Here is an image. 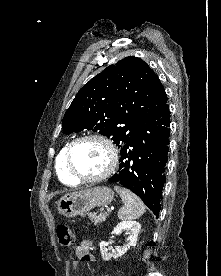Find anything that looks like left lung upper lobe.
Here are the masks:
<instances>
[{"label": "left lung upper lobe", "mask_w": 221, "mask_h": 276, "mask_svg": "<svg viewBox=\"0 0 221 276\" xmlns=\"http://www.w3.org/2000/svg\"><path fill=\"white\" fill-rule=\"evenodd\" d=\"M166 103L153 70L140 58L128 56L79 90L63 117V133L99 131L122 148Z\"/></svg>", "instance_id": "1"}]
</instances>
